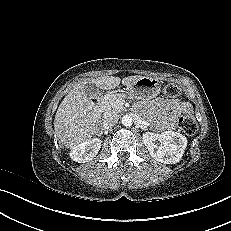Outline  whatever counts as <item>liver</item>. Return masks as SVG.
Returning a JSON list of instances; mask_svg holds the SVG:
<instances>
[{
    "instance_id": "liver-1",
    "label": "liver",
    "mask_w": 231,
    "mask_h": 231,
    "mask_svg": "<svg viewBox=\"0 0 231 231\" xmlns=\"http://www.w3.org/2000/svg\"><path fill=\"white\" fill-rule=\"evenodd\" d=\"M140 75L119 77L103 76L79 82L60 103L55 119L54 130L61 143L69 149L79 145L96 134L100 125V114L84 92V85L95 84L100 90H111L119 86H129L141 78Z\"/></svg>"
}]
</instances>
